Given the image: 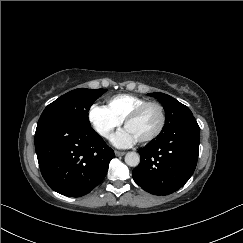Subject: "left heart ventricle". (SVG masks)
I'll return each mask as SVG.
<instances>
[{
    "mask_svg": "<svg viewBox=\"0 0 243 243\" xmlns=\"http://www.w3.org/2000/svg\"><path fill=\"white\" fill-rule=\"evenodd\" d=\"M160 124V112L157 107L151 106L135 120L130 122L126 128L133 134L137 141L151 135Z\"/></svg>",
    "mask_w": 243,
    "mask_h": 243,
    "instance_id": "1",
    "label": "left heart ventricle"
}]
</instances>
